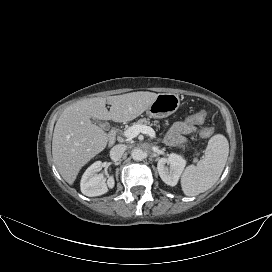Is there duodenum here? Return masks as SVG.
I'll return each instance as SVG.
<instances>
[{"label":"duodenum","instance_id":"duodenum-1","mask_svg":"<svg viewBox=\"0 0 272 272\" xmlns=\"http://www.w3.org/2000/svg\"><path fill=\"white\" fill-rule=\"evenodd\" d=\"M116 142V130H112L109 134L108 143L109 145H113Z\"/></svg>","mask_w":272,"mask_h":272}]
</instances>
